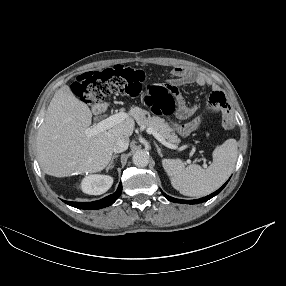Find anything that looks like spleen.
<instances>
[{
    "label": "spleen",
    "instance_id": "obj_1",
    "mask_svg": "<svg viewBox=\"0 0 286 286\" xmlns=\"http://www.w3.org/2000/svg\"><path fill=\"white\" fill-rule=\"evenodd\" d=\"M237 159V142L228 139L213 152V163L204 169L192 164L185 167L180 159H163L162 165L172 186L181 194L201 197L217 190L233 172Z\"/></svg>",
    "mask_w": 286,
    "mask_h": 286
}]
</instances>
